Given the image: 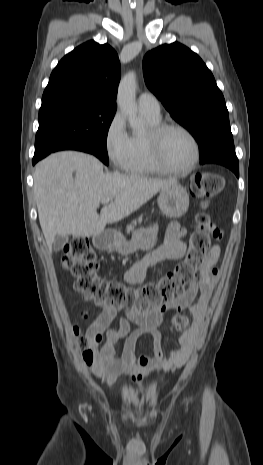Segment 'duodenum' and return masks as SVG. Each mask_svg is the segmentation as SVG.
Wrapping results in <instances>:
<instances>
[{"instance_id": "obj_1", "label": "duodenum", "mask_w": 263, "mask_h": 465, "mask_svg": "<svg viewBox=\"0 0 263 465\" xmlns=\"http://www.w3.org/2000/svg\"><path fill=\"white\" fill-rule=\"evenodd\" d=\"M109 244V240L107 237L100 235L95 239V245L98 249H105Z\"/></svg>"}]
</instances>
